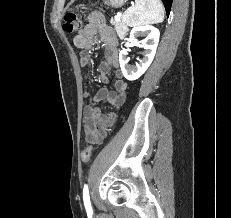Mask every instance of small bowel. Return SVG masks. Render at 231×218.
Listing matches in <instances>:
<instances>
[{"label":"small bowel","instance_id":"c3829d8e","mask_svg":"<svg viewBox=\"0 0 231 218\" xmlns=\"http://www.w3.org/2000/svg\"><path fill=\"white\" fill-rule=\"evenodd\" d=\"M97 37L100 38L106 54L104 61L98 67L102 81L108 82L106 74L111 69L115 70L113 89L102 88L93 96L87 90L84 91V96L89 99V104L84 109V129L93 142L100 143L107 136L116 115L113 112L103 114L97 104L105 101L118 109L126 98L127 83L119 70L116 33L107 25L104 15L99 11H93L88 15L87 24L73 39L75 47L82 51L80 55L82 67L93 65L89 50L93 47Z\"/></svg>","mask_w":231,"mask_h":218}]
</instances>
